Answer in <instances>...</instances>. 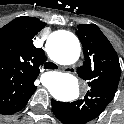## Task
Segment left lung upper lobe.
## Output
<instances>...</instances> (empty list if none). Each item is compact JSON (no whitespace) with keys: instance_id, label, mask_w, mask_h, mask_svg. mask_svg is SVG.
<instances>
[{"instance_id":"obj_1","label":"left lung upper lobe","mask_w":124,"mask_h":124,"mask_svg":"<svg viewBox=\"0 0 124 124\" xmlns=\"http://www.w3.org/2000/svg\"><path fill=\"white\" fill-rule=\"evenodd\" d=\"M85 57L78 75L88 82L84 98L63 103V115L68 124H86L98 117L115 96L120 80V64L116 51L95 24L78 25L76 31Z\"/></svg>"}]
</instances>
